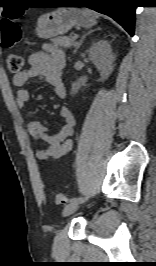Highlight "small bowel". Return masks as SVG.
Segmentation results:
<instances>
[{
  "instance_id": "obj_1",
  "label": "small bowel",
  "mask_w": 156,
  "mask_h": 266,
  "mask_svg": "<svg viewBox=\"0 0 156 266\" xmlns=\"http://www.w3.org/2000/svg\"><path fill=\"white\" fill-rule=\"evenodd\" d=\"M28 61L29 68L15 74L12 78L13 85L18 88L16 95L18 108H24L30 100V93L24 86L31 80H44L53 87L54 93L59 98L66 96L62 79L65 58L57 47L45 45L44 51L31 54ZM60 115L64 124L59 129H52L37 120L27 122L29 134L46 143L44 149L36 151V157L39 160H61L72 149L73 142L70 137L74 130L75 117L71 109L65 105L60 108Z\"/></svg>"
}]
</instances>
